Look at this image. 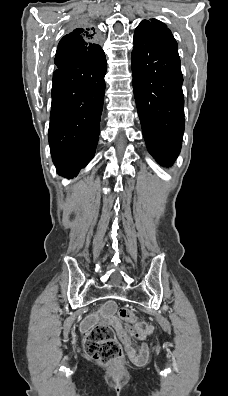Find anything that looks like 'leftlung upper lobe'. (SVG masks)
I'll return each instance as SVG.
<instances>
[{"instance_id": "1", "label": "left lung upper lobe", "mask_w": 228, "mask_h": 396, "mask_svg": "<svg viewBox=\"0 0 228 396\" xmlns=\"http://www.w3.org/2000/svg\"><path fill=\"white\" fill-rule=\"evenodd\" d=\"M155 29L164 30L168 34L172 35L171 31L167 28V26L164 23L156 19H151V20H143L136 28L134 36L148 35L153 33Z\"/></svg>"}]
</instances>
